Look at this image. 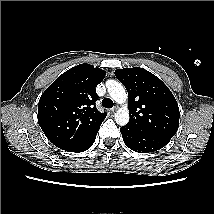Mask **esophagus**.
Returning a JSON list of instances; mask_svg holds the SVG:
<instances>
[{
    "label": "esophagus",
    "instance_id": "34e87169",
    "mask_svg": "<svg viewBox=\"0 0 214 214\" xmlns=\"http://www.w3.org/2000/svg\"><path fill=\"white\" fill-rule=\"evenodd\" d=\"M117 108H118V107L115 106V107L111 108L110 111H111V112H115V111L117 110Z\"/></svg>",
    "mask_w": 214,
    "mask_h": 214
}]
</instances>
